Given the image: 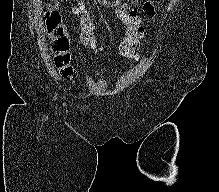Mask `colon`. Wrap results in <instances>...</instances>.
<instances>
[{"instance_id":"obj_1","label":"colon","mask_w":219,"mask_h":192,"mask_svg":"<svg viewBox=\"0 0 219 192\" xmlns=\"http://www.w3.org/2000/svg\"><path fill=\"white\" fill-rule=\"evenodd\" d=\"M48 36L51 41V50L54 56L55 66L64 79H73L76 69L72 64L71 36L68 27L61 15L54 11H48L45 15ZM87 30L93 27L91 21H85ZM120 53L130 59H138V37L126 36L119 46Z\"/></svg>"}]
</instances>
